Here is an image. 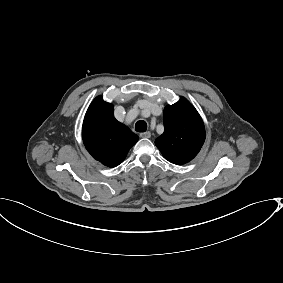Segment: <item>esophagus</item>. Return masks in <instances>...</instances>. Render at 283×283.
Masks as SVG:
<instances>
[{
    "label": "esophagus",
    "instance_id": "1",
    "mask_svg": "<svg viewBox=\"0 0 283 283\" xmlns=\"http://www.w3.org/2000/svg\"><path fill=\"white\" fill-rule=\"evenodd\" d=\"M140 137L141 138H150L151 137V133L149 131L141 133Z\"/></svg>",
    "mask_w": 283,
    "mask_h": 283
}]
</instances>
